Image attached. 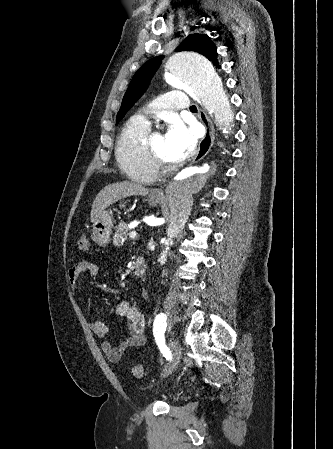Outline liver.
Here are the masks:
<instances>
[{
	"instance_id": "obj_1",
	"label": "liver",
	"mask_w": 333,
	"mask_h": 449,
	"mask_svg": "<svg viewBox=\"0 0 333 449\" xmlns=\"http://www.w3.org/2000/svg\"><path fill=\"white\" fill-rule=\"evenodd\" d=\"M149 193V189L142 185L130 182L120 181L105 186L96 196L92 209L91 221L95 220L101 213L113 203L130 197V196H145Z\"/></svg>"
}]
</instances>
